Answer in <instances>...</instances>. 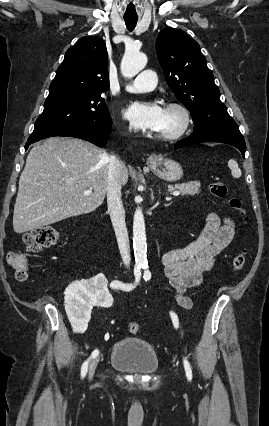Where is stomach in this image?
<instances>
[{"mask_svg":"<svg viewBox=\"0 0 269 426\" xmlns=\"http://www.w3.org/2000/svg\"><path fill=\"white\" fill-rule=\"evenodd\" d=\"M149 167L159 178L170 182L179 180L183 175L181 165L169 158H159L150 162Z\"/></svg>","mask_w":269,"mask_h":426,"instance_id":"obj_1","label":"stomach"}]
</instances>
